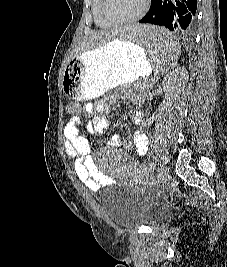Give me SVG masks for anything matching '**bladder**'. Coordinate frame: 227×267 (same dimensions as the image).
Segmentation results:
<instances>
[{"mask_svg": "<svg viewBox=\"0 0 227 267\" xmlns=\"http://www.w3.org/2000/svg\"><path fill=\"white\" fill-rule=\"evenodd\" d=\"M110 220L118 226H157L166 220L168 208L121 186L112 187L102 199Z\"/></svg>", "mask_w": 227, "mask_h": 267, "instance_id": "bladder-1", "label": "bladder"}]
</instances>
